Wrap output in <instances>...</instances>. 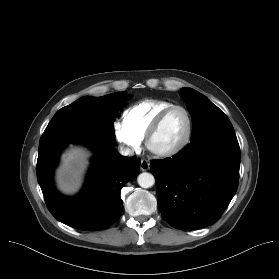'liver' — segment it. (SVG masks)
<instances>
[{"mask_svg":"<svg viewBox=\"0 0 279 279\" xmlns=\"http://www.w3.org/2000/svg\"><path fill=\"white\" fill-rule=\"evenodd\" d=\"M88 155L84 149L77 147L62 155V165L57 170V185L62 192L72 194L78 190Z\"/></svg>","mask_w":279,"mask_h":279,"instance_id":"1","label":"liver"}]
</instances>
